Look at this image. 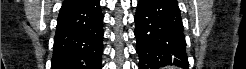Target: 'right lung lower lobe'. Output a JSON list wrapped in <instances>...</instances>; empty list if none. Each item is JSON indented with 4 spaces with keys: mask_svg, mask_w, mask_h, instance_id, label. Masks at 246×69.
<instances>
[{
    "mask_svg": "<svg viewBox=\"0 0 246 69\" xmlns=\"http://www.w3.org/2000/svg\"><path fill=\"white\" fill-rule=\"evenodd\" d=\"M102 22L98 0H65L57 19L52 69H101Z\"/></svg>",
    "mask_w": 246,
    "mask_h": 69,
    "instance_id": "1",
    "label": "right lung lower lobe"
}]
</instances>
